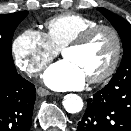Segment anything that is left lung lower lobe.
Returning a JSON list of instances; mask_svg holds the SVG:
<instances>
[{
	"label": "left lung lower lobe",
	"instance_id": "left-lung-lower-lobe-1",
	"mask_svg": "<svg viewBox=\"0 0 131 131\" xmlns=\"http://www.w3.org/2000/svg\"><path fill=\"white\" fill-rule=\"evenodd\" d=\"M78 131H131V80L108 83L87 99Z\"/></svg>",
	"mask_w": 131,
	"mask_h": 131
}]
</instances>
